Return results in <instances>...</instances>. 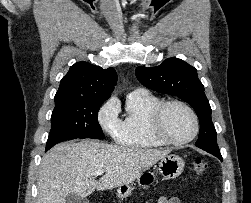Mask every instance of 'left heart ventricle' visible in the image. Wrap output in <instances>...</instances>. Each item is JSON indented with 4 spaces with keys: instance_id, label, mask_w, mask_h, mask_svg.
Segmentation results:
<instances>
[{
    "instance_id": "b2bd125f",
    "label": "left heart ventricle",
    "mask_w": 251,
    "mask_h": 203,
    "mask_svg": "<svg viewBox=\"0 0 251 203\" xmlns=\"http://www.w3.org/2000/svg\"><path fill=\"white\" fill-rule=\"evenodd\" d=\"M163 131L172 139H185L193 131V120L186 109L179 105L167 108L163 117Z\"/></svg>"
}]
</instances>
